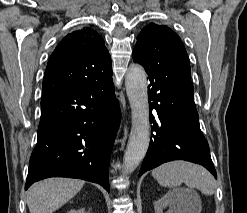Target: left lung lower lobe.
I'll return each instance as SVG.
<instances>
[{"label":"left lung lower lobe","mask_w":247,"mask_h":213,"mask_svg":"<svg viewBox=\"0 0 247 213\" xmlns=\"http://www.w3.org/2000/svg\"><path fill=\"white\" fill-rule=\"evenodd\" d=\"M146 72L153 126L139 176L165 162L186 160L203 165L217 178L209 145L200 130L191 73L181 67Z\"/></svg>","instance_id":"obj_1"}]
</instances>
